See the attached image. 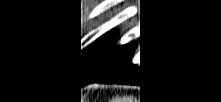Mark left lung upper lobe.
<instances>
[{
    "mask_svg": "<svg viewBox=\"0 0 221 102\" xmlns=\"http://www.w3.org/2000/svg\"><path fill=\"white\" fill-rule=\"evenodd\" d=\"M116 34L111 31L97 40L89 50L78 52L73 64L74 74L79 77L83 75Z\"/></svg>",
    "mask_w": 221,
    "mask_h": 102,
    "instance_id": "left-lung-upper-lobe-1",
    "label": "left lung upper lobe"
}]
</instances>
